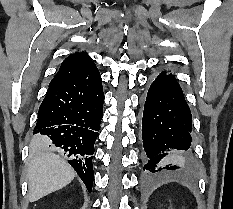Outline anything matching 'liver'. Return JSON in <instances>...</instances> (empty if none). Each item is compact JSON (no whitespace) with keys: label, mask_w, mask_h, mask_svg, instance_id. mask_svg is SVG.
<instances>
[{"label":"liver","mask_w":233,"mask_h":209,"mask_svg":"<svg viewBox=\"0 0 233 209\" xmlns=\"http://www.w3.org/2000/svg\"><path fill=\"white\" fill-rule=\"evenodd\" d=\"M73 168L60 156L42 151L30 160L27 169L28 199L35 202L68 185L75 177Z\"/></svg>","instance_id":"6515ba94"}]
</instances>
